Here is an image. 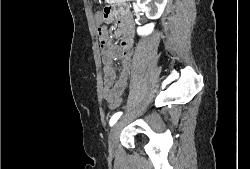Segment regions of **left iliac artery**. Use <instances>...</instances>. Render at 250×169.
<instances>
[{
	"instance_id": "obj_1",
	"label": "left iliac artery",
	"mask_w": 250,
	"mask_h": 169,
	"mask_svg": "<svg viewBox=\"0 0 250 169\" xmlns=\"http://www.w3.org/2000/svg\"><path fill=\"white\" fill-rule=\"evenodd\" d=\"M122 115V112L115 113L110 119V126H113Z\"/></svg>"
}]
</instances>
